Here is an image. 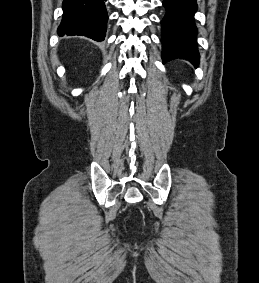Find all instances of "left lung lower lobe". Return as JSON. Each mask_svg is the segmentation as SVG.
Here are the masks:
<instances>
[{"label": "left lung lower lobe", "instance_id": "1", "mask_svg": "<svg viewBox=\"0 0 259 283\" xmlns=\"http://www.w3.org/2000/svg\"><path fill=\"white\" fill-rule=\"evenodd\" d=\"M163 5L166 8V15L161 22L163 63L173 59H186L198 65V29L194 23L196 0H164Z\"/></svg>", "mask_w": 259, "mask_h": 283}]
</instances>
